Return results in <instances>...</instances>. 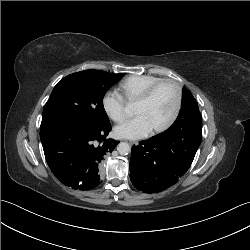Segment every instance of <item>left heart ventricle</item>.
<instances>
[{
    "instance_id": "left-heart-ventricle-1",
    "label": "left heart ventricle",
    "mask_w": 250,
    "mask_h": 250,
    "mask_svg": "<svg viewBox=\"0 0 250 250\" xmlns=\"http://www.w3.org/2000/svg\"><path fill=\"white\" fill-rule=\"evenodd\" d=\"M175 102L176 93L174 87L170 84H164L149 101L136 103L135 114L144 115L152 128L155 129L171 117Z\"/></svg>"
}]
</instances>
